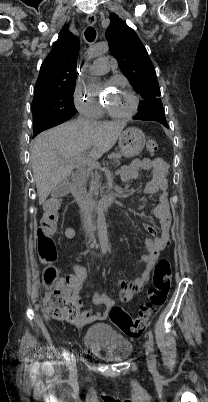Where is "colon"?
Instances as JSON below:
<instances>
[{
	"mask_svg": "<svg viewBox=\"0 0 208 402\" xmlns=\"http://www.w3.org/2000/svg\"><path fill=\"white\" fill-rule=\"evenodd\" d=\"M146 149L149 153H155L156 142L148 140ZM42 224L46 229L52 230L56 227V219L49 214ZM53 238L52 232L39 230L38 256L41 263L46 265L42 275L47 283L46 289L49 290L43 299V308H47L48 314H67L68 317L75 318L79 315V306L83 305V298L74 297V284L70 277H60L58 257L53 256L57 247L56 242L52 241ZM170 283L171 265L168 260L162 259L155 265L153 280L147 290L148 298L141 304L137 318L133 319L122 306H112L109 310L112 323L129 338L141 337L149 319L166 303Z\"/></svg>",
	"mask_w": 208,
	"mask_h": 402,
	"instance_id": "obj_1",
	"label": "colon"
}]
</instances>
